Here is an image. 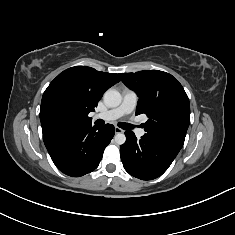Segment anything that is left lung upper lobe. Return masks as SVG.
I'll return each mask as SVG.
<instances>
[{
  "instance_id": "left-lung-upper-lobe-1",
  "label": "left lung upper lobe",
  "mask_w": 235,
  "mask_h": 235,
  "mask_svg": "<svg viewBox=\"0 0 235 235\" xmlns=\"http://www.w3.org/2000/svg\"><path fill=\"white\" fill-rule=\"evenodd\" d=\"M122 82L138 97L136 115L146 114L147 136L171 142L182 148L190 123L189 99L179 81L159 70L120 73Z\"/></svg>"
}]
</instances>
